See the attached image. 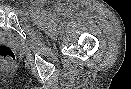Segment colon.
Returning <instances> with one entry per match:
<instances>
[{"label": "colon", "mask_w": 131, "mask_h": 89, "mask_svg": "<svg viewBox=\"0 0 131 89\" xmlns=\"http://www.w3.org/2000/svg\"><path fill=\"white\" fill-rule=\"evenodd\" d=\"M14 58V54L9 47L0 46V61L5 63H11L14 61Z\"/></svg>", "instance_id": "5ec220e1"}]
</instances>
